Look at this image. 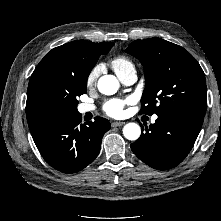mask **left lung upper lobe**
<instances>
[{
    "instance_id": "1",
    "label": "left lung upper lobe",
    "mask_w": 221,
    "mask_h": 221,
    "mask_svg": "<svg viewBox=\"0 0 221 221\" xmlns=\"http://www.w3.org/2000/svg\"><path fill=\"white\" fill-rule=\"evenodd\" d=\"M126 52L139 59L145 71L140 114L182 110L205 115V75L184 48L160 38H149L132 42Z\"/></svg>"
}]
</instances>
